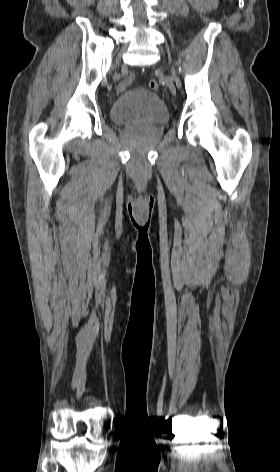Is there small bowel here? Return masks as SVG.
<instances>
[{"instance_id": "obj_1", "label": "small bowel", "mask_w": 280, "mask_h": 472, "mask_svg": "<svg viewBox=\"0 0 280 472\" xmlns=\"http://www.w3.org/2000/svg\"><path fill=\"white\" fill-rule=\"evenodd\" d=\"M134 80V76L133 75H129L125 78V80L121 83L120 85V89L123 90L125 89L128 85H130Z\"/></svg>"}]
</instances>
